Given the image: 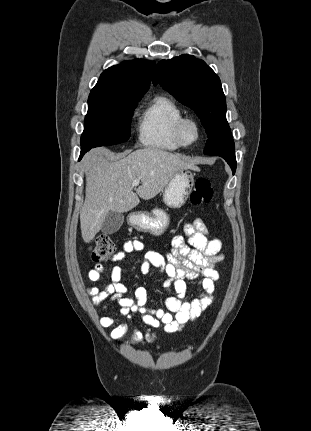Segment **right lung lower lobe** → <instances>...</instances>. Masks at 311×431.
I'll use <instances>...</instances> for the list:
<instances>
[{
    "label": "right lung lower lobe",
    "instance_id": "obj_1",
    "mask_svg": "<svg viewBox=\"0 0 311 431\" xmlns=\"http://www.w3.org/2000/svg\"><path fill=\"white\" fill-rule=\"evenodd\" d=\"M84 151L81 150V155H80V159L82 158V156L84 155Z\"/></svg>",
    "mask_w": 311,
    "mask_h": 431
}]
</instances>
